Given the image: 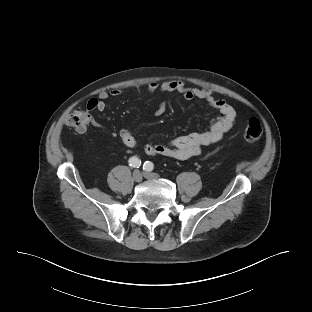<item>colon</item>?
<instances>
[{
	"label": "colon",
	"instance_id": "colon-1",
	"mask_svg": "<svg viewBox=\"0 0 312 312\" xmlns=\"http://www.w3.org/2000/svg\"><path fill=\"white\" fill-rule=\"evenodd\" d=\"M88 123L89 115L84 109L81 108H74L66 119L67 126L77 131L85 130ZM261 134L262 125L260 120L257 118H251L244 129V139L247 142H254L260 138Z\"/></svg>",
	"mask_w": 312,
	"mask_h": 312
}]
</instances>
